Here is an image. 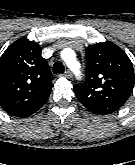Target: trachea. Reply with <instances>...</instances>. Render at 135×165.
<instances>
[{"label":"trachea","mask_w":135,"mask_h":165,"mask_svg":"<svg viewBox=\"0 0 135 165\" xmlns=\"http://www.w3.org/2000/svg\"><path fill=\"white\" fill-rule=\"evenodd\" d=\"M53 73L57 74V73H64V65L62 62L57 61L54 65H53Z\"/></svg>","instance_id":"1"}]
</instances>
